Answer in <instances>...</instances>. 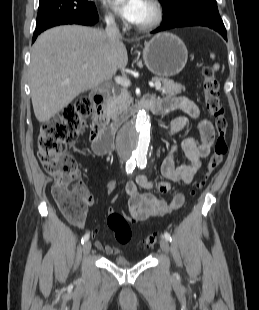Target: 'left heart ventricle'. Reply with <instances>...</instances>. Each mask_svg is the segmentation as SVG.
Here are the masks:
<instances>
[{
	"label": "left heart ventricle",
	"instance_id": "1",
	"mask_svg": "<svg viewBox=\"0 0 259 310\" xmlns=\"http://www.w3.org/2000/svg\"><path fill=\"white\" fill-rule=\"evenodd\" d=\"M154 17V10L146 0L143 2L135 25H143L150 22Z\"/></svg>",
	"mask_w": 259,
	"mask_h": 310
}]
</instances>
